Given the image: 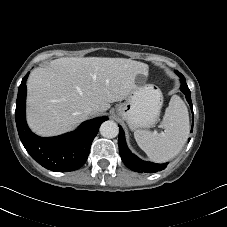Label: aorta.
I'll use <instances>...</instances> for the list:
<instances>
[{
	"label": "aorta",
	"mask_w": 227,
	"mask_h": 227,
	"mask_svg": "<svg viewBox=\"0 0 227 227\" xmlns=\"http://www.w3.org/2000/svg\"><path fill=\"white\" fill-rule=\"evenodd\" d=\"M118 125L111 120L105 121L100 126V133L105 138H115L118 135Z\"/></svg>",
	"instance_id": "1"
}]
</instances>
